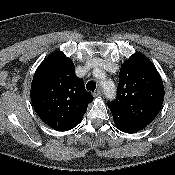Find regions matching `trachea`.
Here are the masks:
<instances>
[{
	"mask_svg": "<svg viewBox=\"0 0 175 175\" xmlns=\"http://www.w3.org/2000/svg\"><path fill=\"white\" fill-rule=\"evenodd\" d=\"M86 88H87L88 91L94 92L95 89H96V82H95V81H89V82L86 84Z\"/></svg>",
	"mask_w": 175,
	"mask_h": 175,
	"instance_id": "1",
	"label": "trachea"
}]
</instances>
